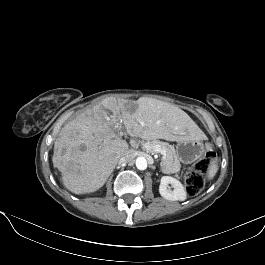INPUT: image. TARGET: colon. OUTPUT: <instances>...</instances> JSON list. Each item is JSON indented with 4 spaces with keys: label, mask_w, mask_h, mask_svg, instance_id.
Instances as JSON below:
<instances>
[{
    "label": "colon",
    "mask_w": 265,
    "mask_h": 265,
    "mask_svg": "<svg viewBox=\"0 0 265 265\" xmlns=\"http://www.w3.org/2000/svg\"><path fill=\"white\" fill-rule=\"evenodd\" d=\"M216 153L213 147L208 144L204 156L187 172L186 187L190 196H196L204 185V174L213 164Z\"/></svg>",
    "instance_id": "obj_1"
}]
</instances>
